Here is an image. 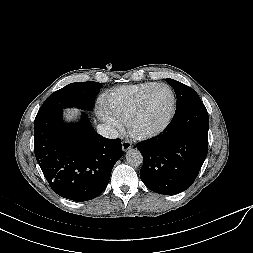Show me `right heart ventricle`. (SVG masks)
Listing matches in <instances>:
<instances>
[{"mask_svg": "<svg viewBox=\"0 0 253 253\" xmlns=\"http://www.w3.org/2000/svg\"><path fill=\"white\" fill-rule=\"evenodd\" d=\"M153 82H143L116 87L109 91L105 98V108L121 124H127L142 93Z\"/></svg>", "mask_w": 253, "mask_h": 253, "instance_id": "obj_1", "label": "right heart ventricle"}]
</instances>
